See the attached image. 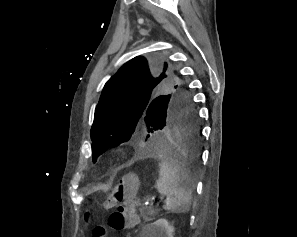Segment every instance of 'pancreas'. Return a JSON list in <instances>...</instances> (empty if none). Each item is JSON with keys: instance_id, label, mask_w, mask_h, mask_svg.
Here are the masks:
<instances>
[{"instance_id": "pancreas-1", "label": "pancreas", "mask_w": 297, "mask_h": 237, "mask_svg": "<svg viewBox=\"0 0 297 237\" xmlns=\"http://www.w3.org/2000/svg\"><path fill=\"white\" fill-rule=\"evenodd\" d=\"M157 214V210L151 209L145 213V215L155 216Z\"/></svg>"}]
</instances>
